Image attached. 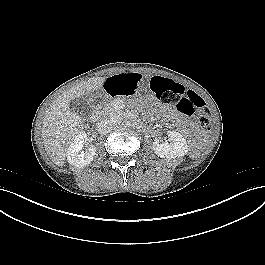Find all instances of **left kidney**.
Returning a JSON list of instances; mask_svg holds the SVG:
<instances>
[{"label": "left kidney", "instance_id": "left-kidney-1", "mask_svg": "<svg viewBox=\"0 0 265 265\" xmlns=\"http://www.w3.org/2000/svg\"><path fill=\"white\" fill-rule=\"evenodd\" d=\"M170 143L163 142L160 138H155L153 150L161 158L183 157L188 152V145L184 137L177 131H168Z\"/></svg>", "mask_w": 265, "mask_h": 265}]
</instances>
